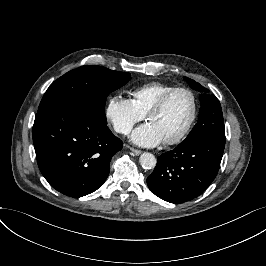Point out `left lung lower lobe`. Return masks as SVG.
I'll use <instances>...</instances> for the list:
<instances>
[{
  "label": "left lung lower lobe",
  "instance_id": "1",
  "mask_svg": "<svg viewBox=\"0 0 266 266\" xmlns=\"http://www.w3.org/2000/svg\"><path fill=\"white\" fill-rule=\"evenodd\" d=\"M225 138L205 136L158 157L147 178L149 189L171 203H183L201 195L215 179L223 156Z\"/></svg>",
  "mask_w": 266,
  "mask_h": 266
}]
</instances>
